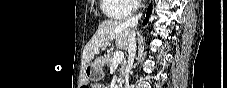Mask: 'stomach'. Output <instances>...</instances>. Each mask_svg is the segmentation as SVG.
I'll return each mask as SVG.
<instances>
[{"label": "stomach", "mask_w": 227, "mask_h": 88, "mask_svg": "<svg viewBox=\"0 0 227 88\" xmlns=\"http://www.w3.org/2000/svg\"><path fill=\"white\" fill-rule=\"evenodd\" d=\"M104 65V59L98 57L94 62L88 63L84 68V74L88 79L95 80L102 74V66Z\"/></svg>", "instance_id": "obj_1"}]
</instances>
